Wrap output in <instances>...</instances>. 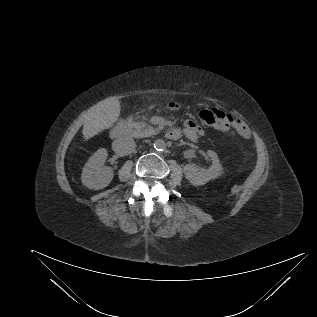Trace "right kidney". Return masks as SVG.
<instances>
[{
	"mask_svg": "<svg viewBox=\"0 0 317 317\" xmlns=\"http://www.w3.org/2000/svg\"><path fill=\"white\" fill-rule=\"evenodd\" d=\"M107 150H97L85 164L81 181L89 189L99 190L107 187L114 177L111 167H104L107 158Z\"/></svg>",
	"mask_w": 317,
	"mask_h": 317,
	"instance_id": "obj_1",
	"label": "right kidney"
}]
</instances>
